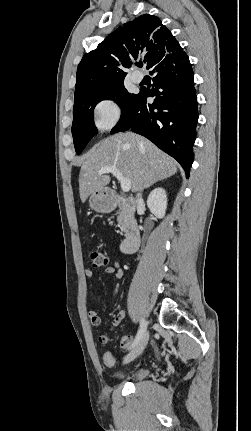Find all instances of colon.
<instances>
[{"mask_svg": "<svg viewBox=\"0 0 251 431\" xmlns=\"http://www.w3.org/2000/svg\"><path fill=\"white\" fill-rule=\"evenodd\" d=\"M89 259L93 267H103L106 266L108 262L106 256L96 249H91L89 251ZM131 341L132 338L130 336H123L120 342V349L123 352H126L129 349ZM101 358L102 364L105 365L108 370H114L117 367L113 351H106V353H104Z\"/></svg>", "mask_w": 251, "mask_h": 431, "instance_id": "5ec220e1", "label": "colon"}]
</instances>
